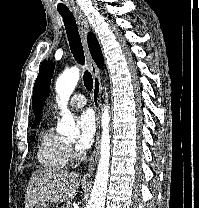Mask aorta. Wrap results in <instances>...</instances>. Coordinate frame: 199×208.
Returning <instances> with one entry per match:
<instances>
[{
	"label": "aorta",
	"instance_id": "aorta-1",
	"mask_svg": "<svg viewBox=\"0 0 199 208\" xmlns=\"http://www.w3.org/2000/svg\"><path fill=\"white\" fill-rule=\"evenodd\" d=\"M80 77V70L72 67L63 72L56 81L55 90L58 96L57 103L61 109V121L58 123L57 132L60 135H78L79 129L67 108L68 100L72 95ZM102 135L100 141V160L97 166L91 199L88 208H104L107 194L110 166V115L109 106L103 108L101 116Z\"/></svg>",
	"mask_w": 199,
	"mask_h": 208
}]
</instances>
